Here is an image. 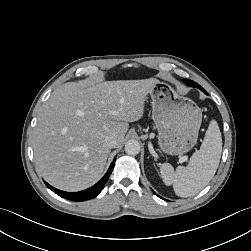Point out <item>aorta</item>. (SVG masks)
Instances as JSON below:
<instances>
[{
	"label": "aorta",
	"mask_w": 251,
	"mask_h": 251,
	"mask_svg": "<svg viewBox=\"0 0 251 251\" xmlns=\"http://www.w3.org/2000/svg\"><path fill=\"white\" fill-rule=\"evenodd\" d=\"M140 144L137 140H129L125 144V152L128 155H137L140 152Z\"/></svg>",
	"instance_id": "obj_1"
}]
</instances>
